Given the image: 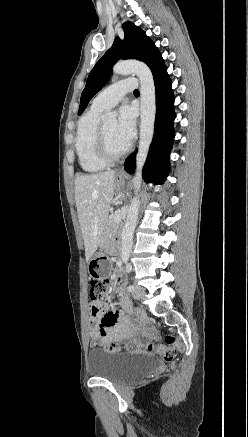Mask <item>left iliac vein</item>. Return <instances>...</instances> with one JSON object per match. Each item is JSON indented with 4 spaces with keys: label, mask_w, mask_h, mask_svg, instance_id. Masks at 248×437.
Returning <instances> with one entry per match:
<instances>
[{
    "label": "left iliac vein",
    "mask_w": 248,
    "mask_h": 437,
    "mask_svg": "<svg viewBox=\"0 0 248 437\" xmlns=\"http://www.w3.org/2000/svg\"><path fill=\"white\" fill-rule=\"evenodd\" d=\"M145 289L141 286H135L133 290V298L135 299H143L145 297Z\"/></svg>",
    "instance_id": "left-iliac-vein-1"
}]
</instances>
